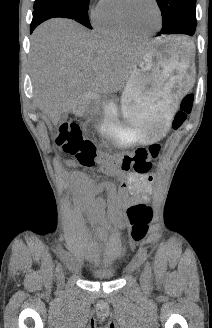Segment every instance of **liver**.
I'll use <instances>...</instances> for the list:
<instances>
[{
    "label": "liver",
    "mask_w": 212,
    "mask_h": 328,
    "mask_svg": "<svg viewBox=\"0 0 212 328\" xmlns=\"http://www.w3.org/2000/svg\"><path fill=\"white\" fill-rule=\"evenodd\" d=\"M145 53L133 43L103 38L75 21L50 19L32 35L36 104L57 124L82 95L124 88Z\"/></svg>",
    "instance_id": "6515ba94"
}]
</instances>
